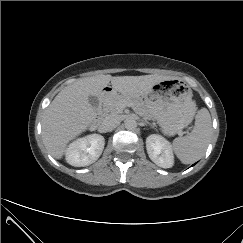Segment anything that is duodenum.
<instances>
[{
    "label": "duodenum",
    "instance_id": "410a0bca",
    "mask_svg": "<svg viewBox=\"0 0 243 243\" xmlns=\"http://www.w3.org/2000/svg\"><path fill=\"white\" fill-rule=\"evenodd\" d=\"M112 89L111 88H105L101 95H100V100H99V109L97 112V115L94 117L93 121H92V125L95 126L99 123L101 117L103 116L106 106L112 96Z\"/></svg>",
    "mask_w": 243,
    "mask_h": 243
}]
</instances>
